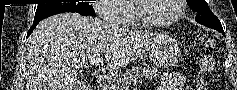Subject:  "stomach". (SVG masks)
Masks as SVG:
<instances>
[{
	"instance_id": "1",
	"label": "stomach",
	"mask_w": 237,
	"mask_h": 90,
	"mask_svg": "<svg viewBox=\"0 0 237 90\" xmlns=\"http://www.w3.org/2000/svg\"><path fill=\"white\" fill-rule=\"evenodd\" d=\"M154 62L157 66L167 68L174 65L180 56V51L176 47H167L164 50L154 49L152 52Z\"/></svg>"
}]
</instances>
